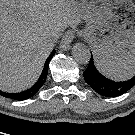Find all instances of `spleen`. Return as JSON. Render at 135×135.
<instances>
[{
	"label": "spleen",
	"instance_id": "spleen-1",
	"mask_svg": "<svg viewBox=\"0 0 135 135\" xmlns=\"http://www.w3.org/2000/svg\"><path fill=\"white\" fill-rule=\"evenodd\" d=\"M99 70L106 76L124 81L135 75V55H127L115 61H104L95 57Z\"/></svg>",
	"mask_w": 135,
	"mask_h": 135
}]
</instances>
